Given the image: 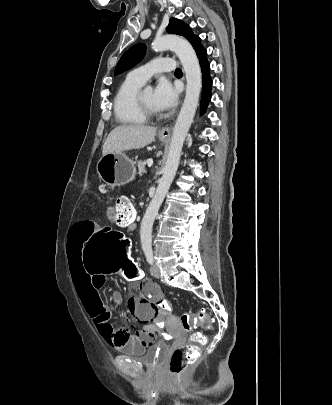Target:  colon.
I'll return each mask as SVG.
<instances>
[{"label": "colon", "mask_w": 332, "mask_h": 405, "mask_svg": "<svg viewBox=\"0 0 332 405\" xmlns=\"http://www.w3.org/2000/svg\"><path fill=\"white\" fill-rule=\"evenodd\" d=\"M118 210L117 221L128 222L135 217V208L126 195H119L116 198L115 206ZM97 234H93V240H87V248H84L86 268L90 275H119L121 281L138 282L144 277V272L133 256H128L129 242L125 234L113 232L112 227H97ZM150 288H161L158 285H151ZM158 299L159 311L154 314L152 323L155 325V332L159 342H170L171 335L167 332L168 319H172V303L166 299ZM199 321L206 328H209L208 314L199 310L196 314L184 313L180 316V324L183 330L189 331L194 323ZM204 335L196 332L191 335L192 344L178 347L173 350L169 362V371L173 376H180L198 357L196 344L204 341Z\"/></svg>", "instance_id": "5ec220e1"}]
</instances>
